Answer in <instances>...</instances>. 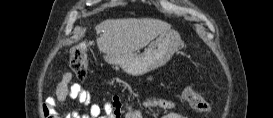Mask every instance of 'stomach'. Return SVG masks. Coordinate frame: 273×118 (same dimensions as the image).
I'll list each match as a JSON object with an SVG mask.
<instances>
[{
	"label": "stomach",
	"instance_id": "1",
	"mask_svg": "<svg viewBox=\"0 0 273 118\" xmlns=\"http://www.w3.org/2000/svg\"><path fill=\"white\" fill-rule=\"evenodd\" d=\"M182 40L175 30L159 34L143 53H126L105 56V61L121 67L131 76H141L164 66L181 45Z\"/></svg>",
	"mask_w": 273,
	"mask_h": 118
}]
</instances>
